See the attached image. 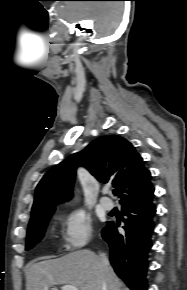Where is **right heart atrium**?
<instances>
[{
    "mask_svg": "<svg viewBox=\"0 0 187 290\" xmlns=\"http://www.w3.org/2000/svg\"><path fill=\"white\" fill-rule=\"evenodd\" d=\"M62 237L66 249L70 251L84 247L92 237V225L82 210H71L61 217Z\"/></svg>",
    "mask_w": 187,
    "mask_h": 290,
    "instance_id": "right-heart-atrium-1",
    "label": "right heart atrium"
}]
</instances>
